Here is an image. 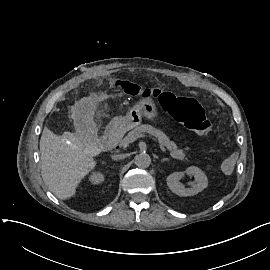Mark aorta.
Listing matches in <instances>:
<instances>
[{"mask_svg": "<svg viewBox=\"0 0 270 270\" xmlns=\"http://www.w3.org/2000/svg\"><path fill=\"white\" fill-rule=\"evenodd\" d=\"M151 163V158L147 153H140L135 156V164L140 168H147Z\"/></svg>", "mask_w": 270, "mask_h": 270, "instance_id": "1", "label": "aorta"}]
</instances>
